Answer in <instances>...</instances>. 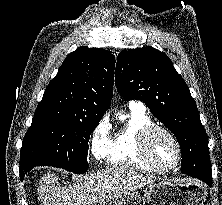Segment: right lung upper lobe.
I'll list each match as a JSON object with an SVG mask.
<instances>
[{"mask_svg": "<svg viewBox=\"0 0 222 205\" xmlns=\"http://www.w3.org/2000/svg\"><path fill=\"white\" fill-rule=\"evenodd\" d=\"M114 56L100 48L71 52L47 86L34 117H101L113 95Z\"/></svg>", "mask_w": 222, "mask_h": 205, "instance_id": "obj_1", "label": "right lung upper lobe"}]
</instances>
